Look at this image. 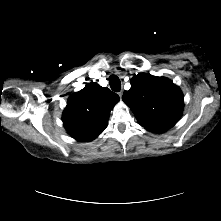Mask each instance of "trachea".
<instances>
[{
	"label": "trachea",
	"instance_id": "1",
	"mask_svg": "<svg viewBox=\"0 0 221 221\" xmlns=\"http://www.w3.org/2000/svg\"><path fill=\"white\" fill-rule=\"evenodd\" d=\"M109 84L113 91L119 92L121 89L120 79L116 75H111L109 77Z\"/></svg>",
	"mask_w": 221,
	"mask_h": 221
}]
</instances>
